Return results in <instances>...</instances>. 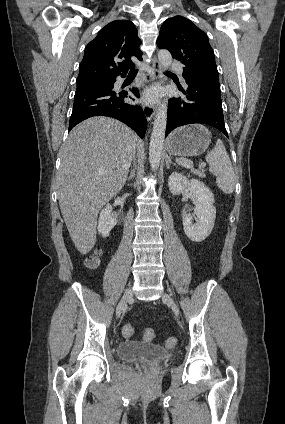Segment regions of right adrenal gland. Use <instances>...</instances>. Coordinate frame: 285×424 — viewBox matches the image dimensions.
<instances>
[{
  "label": "right adrenal gland",
  "mask_w": 285,
  "mask_h": 424,
  "mask_svg": "<svg viewBox=\"0 0 285 424\" xmlns=\"http://www.w3.org/2000/svg\"><path fill=\"white\" fill-rule=\"evenodd\" d=\"M136 168V167H135ZM135 175V169L131 172V174L128 177V180H131Z\"/></svg>",
  "instance_id": "1"
}]
</instances>
